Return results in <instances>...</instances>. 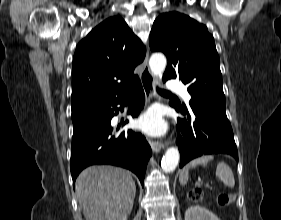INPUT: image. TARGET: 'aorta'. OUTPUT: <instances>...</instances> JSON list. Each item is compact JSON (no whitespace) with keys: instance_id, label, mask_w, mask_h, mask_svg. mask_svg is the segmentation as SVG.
Returning <instances> with one entry per match:
<instances>
[{"instance_id":"aorta-1","label":"aorta","mask_w":281,"mask_h":220,"mask_svg":"<svg viewBox=\"0 0 281 220\" xmlns=\"http://www.w3.org/2000/svg\"><path fill=\"white\" fill-rule=\"evenodd\" d=\"M166 65V57L163 54L154 53L150 57L149 66L154 76L162 77ZM179 159L180 154L178 149L174 147L168 148L161 161L162 169L167 173L174 171L179 163Z\"/></svg>"}]
</instances>
